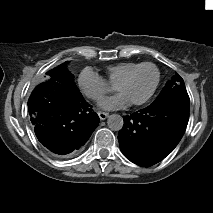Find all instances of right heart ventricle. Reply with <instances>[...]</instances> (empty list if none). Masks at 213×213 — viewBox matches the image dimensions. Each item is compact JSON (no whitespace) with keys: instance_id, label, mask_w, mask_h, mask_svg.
Instances as JSON below:
<instances>
[{"instance_id":"e07e8e85","label":"right heart ventricle","mask_w":213,"mask_h":213,"mask_svg":"<svg viewBox=\"0 0 213 213\" xmlns=\"http://www.w3.org/2000/svg\"><path fill=\"white\" fill-rule=\"evenodd\" d=\"M140 64H142V63L126 61V62H120V63L114 64V65H109L105 68L106 81L109 84L114 86L116 84V82L122 76H124L132 68H134Z\"/></svg>"}]
</instances>
